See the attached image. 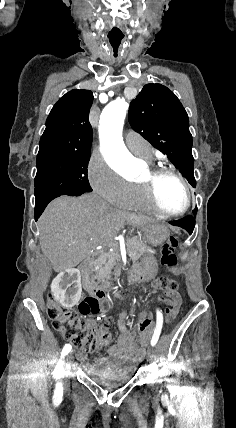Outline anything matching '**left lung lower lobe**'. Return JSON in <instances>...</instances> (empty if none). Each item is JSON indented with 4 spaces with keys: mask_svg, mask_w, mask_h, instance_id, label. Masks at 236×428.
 Listing matches in <instances>:
<instances>
[{
    "mask_svg": "<svg viewBox=\"0 0 236 428\" xmlns=\"http://www.w3.org/2000/svg\"><path fill=\"white\" fill-rule=\"evenodd\" d=\"M196 213H197V208H195L193 210L192 215L186 216V217H184L180 220H177V221H169V223L171 225L184 228L191 235L193 232V229L195 227V219L194 218L196 217Z\"/></svg>",
    "mask_w": 236,
    "mask_h": 428,
    "instance_id": "left-lung-lower-lobe-1",
    "label": "left lung lower lobe"
}]
</instances>
